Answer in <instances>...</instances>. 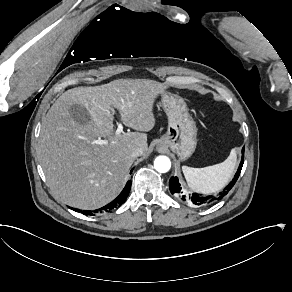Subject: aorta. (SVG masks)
<instances>
[{
    "label": "aorta",
    "mask_w": 292,
    "mask_h": 292,
    "mask_svg": "<svg viewBox=\"0 0 292 292\" xmlns=\"http://www.w3.org/2000/svg\"><path fill=\"white\" fill-rule=\"evenodd\" d=\"M154 168L159 173H166L171 168V161L166 156H159L155 159Z\"/></svg>",
    "instance_id": "aorta-1"
}]
</instances>
